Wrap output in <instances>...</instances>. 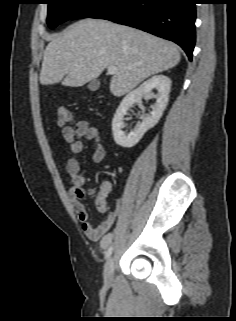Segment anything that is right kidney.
<instances>
[{
    "mask_svg": "<svg viewBox=\"0 0 236 321\" xmlns=\"http://www.w3.org/2000/svg\"><path fill=\"white\" fill-rule=\"evenodd\" d=\"M153 89H157V99L151 114L142 118L136 128L129 134L122 130L124 127L123 118L134 103L139 102L142 97L149 95ZM171 80L165 75H155L144 81L137 89L128 93L121 101L112 121L114 141L122 147L130 148L135 146L143 135L160 120L169 99Z\"/></svg>",
    "mask_w": 236,
    "mask_h": 321,
    "instance_id": "right-kidney-1",
    "label": "right kidney"
}]
</instances>
